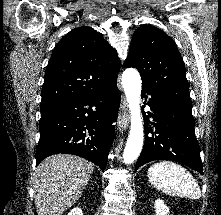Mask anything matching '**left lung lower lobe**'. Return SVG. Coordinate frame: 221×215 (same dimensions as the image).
Wrapping results in <instances>:
<instances>
[{"label": "left lung lower lobe", "mask_w": 221, "mask_h": 215, "mask_svg": "<svg viewBox=\"0 0 221 215\" xmlns=\"http://www.w3.org/2000/svg\"><path fill=\"white\" fill-rule=\"evenodd\" d=\"M148 95L150 98L145 103L151 109L148 116L154 122L150 123L151 127L149 117H145V143L135 170L150 161L172 160L203 174L191 104L168 99L142 86V98Z\"/></svg>", "instance_id": "0a47b994"}]
</instances>
